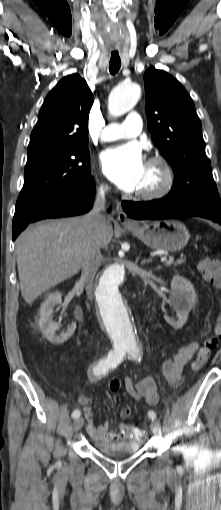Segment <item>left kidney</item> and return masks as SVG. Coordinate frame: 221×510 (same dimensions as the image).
Here are the masks:
<instances>
[{
	"label": "left kidney",
	"mask_w": 221,
	"mask_h": 510,
	"mask_svg": "<svg viewBox=\"0 0 221 510\" xmlns=\"http://www.w3.org/2000/svg\"><path fill=\"white\" fill-rule=\"evenodd\" d=\"M170 307L176 312L177 320L164 316L166 322L175 329H180L186 323L190 310L197 301V294L190 281L180 275H175L171 281Z\"/></svg>",
	"instance_id": "left-kidney-1"
}]
</instances>
